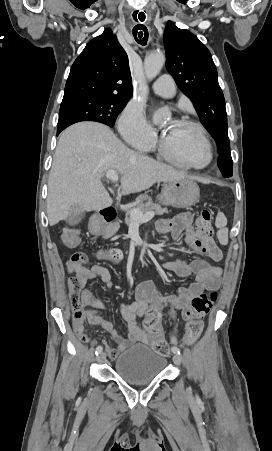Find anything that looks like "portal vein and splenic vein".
I'll use <instances>...</instances> for the list:
<instances>
[{
    "mask_svg": "<svg viewBox=\"0 0 272 451\" xmlns=\"http://www.w3.org/2000/svg\"><path fill=\"white\" fill-rule=\"evenodd\" d=\"M106 178H108V180H112V182H117L118 174L115 170H108V172H106ZM154 216V212H146V214H143L140 210H131L130 212L132 224H144V222H149V220H152Z\"/></svg>",
    "mask_w": 272,
    "mask_h": 451,
    "instance_id": "1",
    "label": "portal vein and splenic vein"
}]
</instances>
